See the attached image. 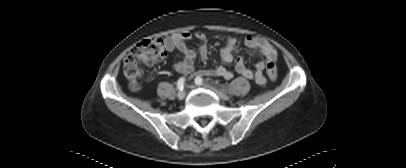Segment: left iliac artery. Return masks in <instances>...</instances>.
Returning <instances> with one entry per match:
<instances>
[{"label": "left iliac artery", "instance_id": "left-iliac-artery-1", "mask_svg": "<svg viewBox=\"0 0 406 168\" xmlns=\"http://www.w3.org/2000/svg\"><path fill=\"white\" fill-rule=\"evenodd\" d=\"M195 83H196L197 85H201V84L203 83V79H202L201 77L197 76V77L195 78Z\"/></svg>", "mask_w": 406, "mask_h": 168}]
</instances>
